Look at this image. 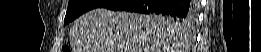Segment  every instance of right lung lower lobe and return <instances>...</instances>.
Listing matches in <instances>:
<instances>
[{
  "instance_id": "1",
  "label": "right lung lower lobe",
  "mask_w": 261,
  "mask_h": 52,
  "mask_svg": "<svg viewBox=\"0 0 261 52\" xmlns=\"http://www.w3.org/2000/svg\"><path fill=\"white\" fill-rule=\"evenodd\" d=\"M102 8L178 18H191L195 15V5L186 0H109Z\"/></svg>"
}]
</instances>
